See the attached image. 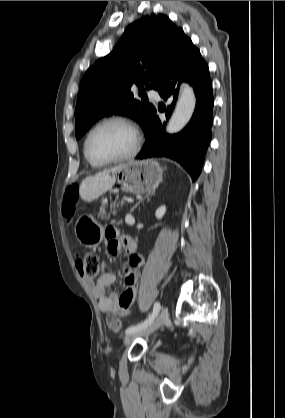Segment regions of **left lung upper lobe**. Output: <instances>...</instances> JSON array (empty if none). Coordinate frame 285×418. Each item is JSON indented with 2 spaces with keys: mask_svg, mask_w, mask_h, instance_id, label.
I'll use <instances>...</instances> for the list:
<instances>
[{
  "mask_svg": "<svg viewBox=\"0 0 285 418\" xmlns=\"http://www.w3.org/2000/svg\"><path fill=\"white\" fill-rule=\"evenodd\" d=\"M186 36L166 15L151 14L130 24L107 56L97 60L85 73L77 97L76 138L103 116L121 114L136 120L148 132L156 109L138 101L146 89L159 88L161 77Z\"/></svg>",
  "mask_w": 285,
  "mask_h": 418,
  "instance_id": "1",
  "label": "left lung upper lobe"
}]
</instances>
